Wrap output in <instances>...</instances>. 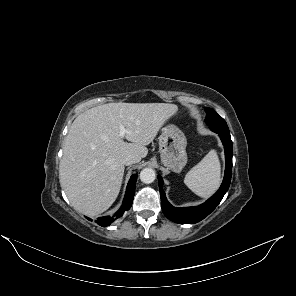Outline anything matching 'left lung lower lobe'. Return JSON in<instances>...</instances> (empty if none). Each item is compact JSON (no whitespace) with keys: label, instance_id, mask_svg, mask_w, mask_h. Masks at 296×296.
Masks as SVG:
<instances>
[{"label":"left lung lower lobe","instance_id":"1","mask_svg":"<svg viewBox=\"0 0 296 296\" xmlns=\"http://www.w3.org/2000/svg\"><path fill=\"white\" fill-rule=\"evenodd\" d=\"M209 126L212 131L219 134L225 148L226 168L223 182L219 190L204 204L196 207L175 208L167 201L165 192L162 188V177L158 176L162 210L165 216L173 222L181 224H193L201 221L217 207L230 186L232 173V141L229 128L228 126L220 125Z\"/></svg>","mask_w":296,"mask_h":296}]
</instances>
